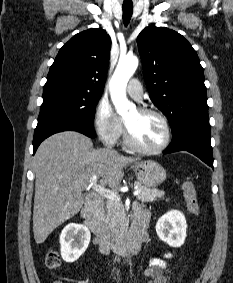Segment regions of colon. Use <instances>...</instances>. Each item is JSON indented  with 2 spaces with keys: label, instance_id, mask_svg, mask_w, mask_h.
Listing matches in <instances>:
<instances>
[{
  "label": "colon",
  "instance_id": "obj_1",
  "mask_svg": "<svg viewBox=\"0 0 233 283\" xmlns=\"http://www.w3.org/2000/svg\"><path fill=\"white\" fill-rule=\"evenodd\" d=\"M182 191L187 203L188 210L191 214L197 215L200 211V206L197 198V191L193 181L185 180L182 183ZM61 264L60 257L57 252L50 250L46 255V265L51 270H56ZM60 283V282H56Z\"/></svg>",
  "mask_w": 233,
  "mask_h": 283
}]
</instances>
